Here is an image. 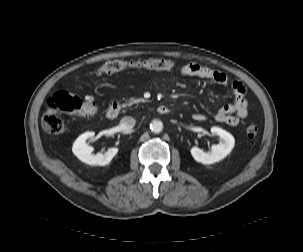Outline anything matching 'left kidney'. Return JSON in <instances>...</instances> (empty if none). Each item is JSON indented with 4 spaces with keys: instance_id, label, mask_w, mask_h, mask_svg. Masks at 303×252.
Instances as JSON below:
<instances>
[{
    "instance_id": "5707ae66",
    "label": "left kidney",
    "mask_w": 303,
    "mask_h": 252,
    "mask_svg": "<svg viewBox=\"0 0 303 252\" xmlns=\"http://www.w3.org/2000/svg\"><path fill=\"white\" fill-rule=\"evenodd\" d=\"M211 133L216 134L221 138V142L212 146V151L209 153L204 152L198 147H192L190 152L192 157L202 164H213L225 158L233 149L235 144L234 137L219 127H212Z\"/></svg>"
}]
</instances>
